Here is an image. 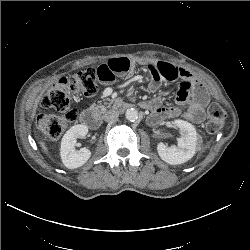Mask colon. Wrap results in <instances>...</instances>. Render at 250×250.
<instances>
[{"label": "colon", "instance_id": "obj_1", "mask_svg": "<svg viewBox=\"0 0 250 250\" xmlns=\"http://www.w3.org/2000/svg\"><path fill=\"white\" fill-rule=\"evenodd\" d=\"M98 73L94 68L79 71L69 77H62L52 84L42 98V106L54 109L62 115L40 114L36 124L41 132L50 140H56L69 123L77 118L76 109L71 107V98L75 94L92 97L97 93ZM225 123V112L217 104L207 109L206 131L210 134L222 129Z\"/></svg>", "mask_w": 250, "mask_h": 250}]
</instances>
